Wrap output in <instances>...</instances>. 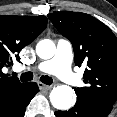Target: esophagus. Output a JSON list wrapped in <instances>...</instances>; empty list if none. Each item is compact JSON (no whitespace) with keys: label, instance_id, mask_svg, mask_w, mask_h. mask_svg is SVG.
<instances>
[{"label":"esophagus","instance_id":"34e87169","mask_svg":"<svg viewBox=\"0 0 117 117\" xmlns=\"http://www.w3.org/2000/svg\"><path fill=\"white\" fill-rule=\"evenodd\" d=\"M38 86H39V89H40L41 91H48V90L51 89V86L45 85V84H43V83H41V82L38 83Z\"/></svg>","mask_w":117,"mask_h":117}]
</instances>
